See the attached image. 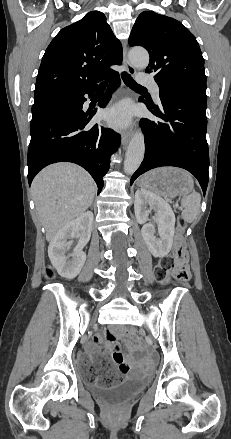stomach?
I'll use <instances>...</instances> for the list:
<instances>
[{
    "instance_id": "1",
    "label": "stomach",
    "mask_w": 231,
    "mask_h": 439,
    "mask_svg": "<svg viewBox=\"0 0 231 439\" xmlns=\"http://www.w3.org/2000/svg\"><path fill=\"white\" fill-rule=\"evenodd\" d=\"M140 184L166 198L186 196L193 190L192 176L179 168L163 167L146 173Z\"/></svg>"
}]
</instances>
